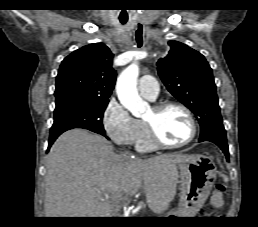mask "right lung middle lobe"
Wrapping results in <instances>:
<instances>
[{
	"label": "right lung middle lobe",
	"instance_id": "dd1d6c3e",
	"mask_svg": "<svg viewBox=\"0 0 258 227\" xmlns=\"http://www.w3.org/2000/svg\"><path fill=\"white\" fill-rule=\"evenodd\" d=\"M55 102L54 124H64L105 134L102 120L109 100L66 94L56 97Z\"/></svg>",
	"mask_w": 258,
	"mask_h": 227
}]
</instances>
